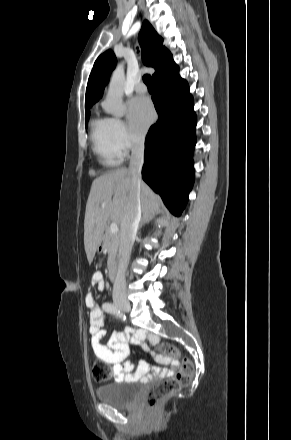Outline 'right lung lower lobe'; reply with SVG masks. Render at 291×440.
<instances>
[{"label":"right lung lower lobe","mask_w":291,"mask_h":440,"mask_svg":"<svg viewBox=\"0 0 291 440\" xmlns=\"http://www.w3.org/2000/svg\"><path fill=\"white\" fill-rule=\"evenodd\" d=\"M152 100L159 115L145 140L143 180L176 216L194 183L196 115L186 80L176 68L153 80Z\"/></svg>","instance_id":"obj_1"}]
</instances>
